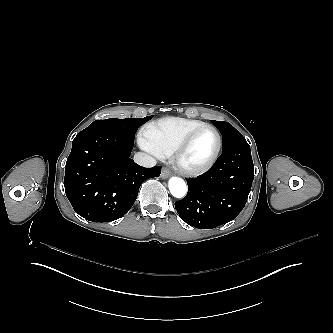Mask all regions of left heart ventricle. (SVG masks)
Instances as JSON below:
<instances>
[{"instance_id": "1", "label": "left heart ventricle", "mask_w": 333, "mask_h": 333, "mask_svg": "<svg viewBox=\"0 0 333 333\" xmlns=\"http://www.w3.org/2000/svg\"><path fill=\"white\" fill-rule=\"evenodd\" d=\"M216 148L217 138L215 133L211 129H203L189 143L181 158V163L188 167L204 165L211 159Z\"/></svg>"}]
</instances>
